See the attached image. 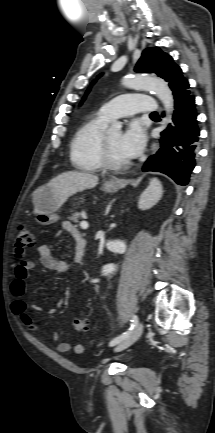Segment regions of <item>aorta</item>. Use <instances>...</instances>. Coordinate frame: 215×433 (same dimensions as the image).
Segmentation results:
<instances>
[{
	"label": "aorta",
	"mask_w": 215,
	"mask_h": 433,
	"mask_svg": "<svg viewBox=\"0 0 215 433\" xmlns=\"http://www.w3.org/2000/svg\"><path fill=\"white\" fill-rule=\"evenodd\" d=\"M123 85L132 89H145L153 91L161 100L167 114L172 113L174 109V99L172 91L168 84L158 77H153L145 74H137L124 78ZM122 125L115 122L111 125V129L119 131Z\"/></svg>",
	"instance_id": "aorta-1"
}]
</instances>
